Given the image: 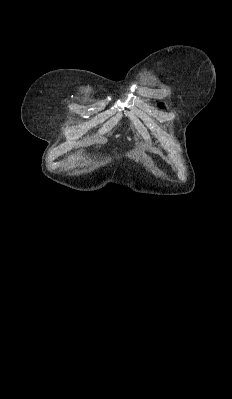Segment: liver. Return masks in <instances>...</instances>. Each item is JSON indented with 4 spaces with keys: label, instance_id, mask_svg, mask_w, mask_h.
Segmentation results:
<instances>
[{
    "label": "liver",
    "instance_id": "liver-1",
    "mask_svg": "<svg viewBox=\"0 0 232 399\" xmlns=\"http://www.w3.org/2000/svg\"><path fill=\"white\" fill-rule=\"evenodd\" d=\"M80 154H82V152H78L77 156H75V158H67V160H69V162H73V164H75V162H78V160H81V158H83V156H80Z\"/></svg>",
    "mask_w": 232,
    "mask_h": 399
}]
</instances>
